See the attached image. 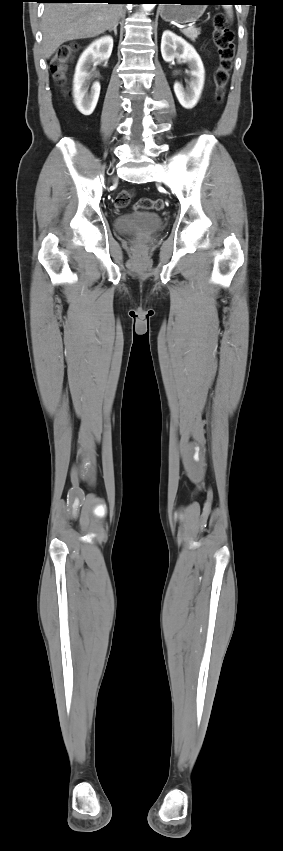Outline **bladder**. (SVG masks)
Wrapping results in <instances>:
<instances>
[{
    "instance_id": "bladder-1",
    "label": "bladder",
    "mask_w": 283,
    "mask_h": 851,
    "mask_svg": "<svg viewBox=\"0 0 283 851\" xmlns=\"http://www.w3.org/2000/svg\"><path fill=\"white\" fill-rule=\"evenodd\" d=\"M162 225V218L158 214L147 211L122 214L114 221L116 231L121 234H130L139 229L155 231Z\"/></svg>"
}]
</instances>
